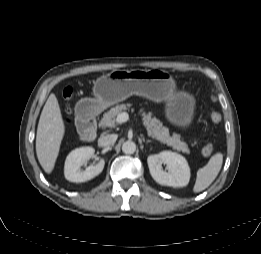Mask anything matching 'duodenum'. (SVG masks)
Returning a JSON list of instances; mask_svg holds the SVG:
<instances>
[{
  "instance_id": "1",
  "label": "duodenum",
  "mask_w": 261,
  "mask_h": 254,
  "mask_svg": "<svg viewBox=\"0 0 261 254\" xmlns=\"http://www.w3.org/2000/svg\"><path fill=\"white\" fill-rule=\"evenodd\" d=\"M97 108L87 102H82L77 108L76 125L83 141H93L98 132Z\"/></svg>"
}]
</instances>
